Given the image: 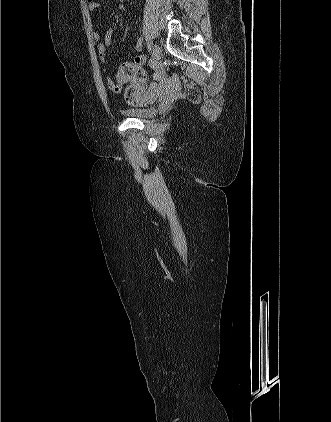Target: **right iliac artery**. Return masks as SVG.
<instances>
[{"label":"right iliac artery","instance_id":"obj_1","mask_svg":"<svg viewBox=\"0 0 331 422\" xmlns=\"http://www.w3.org/2000/svg\"><path fill=\"white\" fill-rule=\"evenodd\" d=\"M147 51H148L149 53H152L153 48H152V45H151V44H148V45H147Z\"/></svg>","mask_w":331,"mask_h":422}]
</instances>
